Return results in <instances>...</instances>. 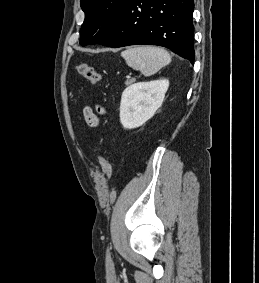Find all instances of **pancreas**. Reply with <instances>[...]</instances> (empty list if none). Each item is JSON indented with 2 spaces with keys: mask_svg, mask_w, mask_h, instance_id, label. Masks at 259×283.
Wrapping results in <instances>:
<instances>
[{
  "mask_svg": "<svg viewBox=\"0 0 259 283\" xmlns=\"http://www.w3.org/2000/svg\"><path fill=\"white\" fill-rule=\"evenodd\" d=\"M134 81H135V79L129 78L125 81V85L128 86V85L132 84Z\"/></svg>",
  "mask_w": 259,
  "mask_h": 283,
  "instance_id": "obj_1",
  "label": "pancreas"
}]
</instances>
